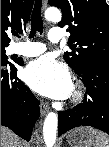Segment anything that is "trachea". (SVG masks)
<instances>
[{
    "label": "trachea",
    "instance_id": "trachea-1",
    "mask_svg": "<svg viewBox=\"0 0 109 147\" xmlns=\"http://www.w3.org/2000/svg\"><path fill=\"white\" fill-rule=\"evenodd\" d=\"M41 0H36L31 16V32L29 37L32 38L35 36L36 32L40 34L43 33V20L41 17Z\"/></svg>",
    "mask_w": 109,
    "mask_h": 147
}]
</instances>
